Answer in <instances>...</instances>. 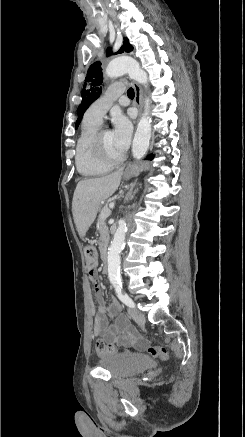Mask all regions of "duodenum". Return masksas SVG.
<instances>
[{"label":"duodenum","mask_w":245,"mask_h":437,"mask_svg":"<svg viewBox=\"0 0 245 437\" xmlns=\"http://www.w3.org/2000/svg\"><path fill=\"white\" fill-rule=\"evenodd\" d=\"M101 259L104 262L103 273L107 274V272H108V268H107L108 250L105 246L102 247V249H101Z\"/></svg>","instance_id":"obj_1"}]
</instances>
